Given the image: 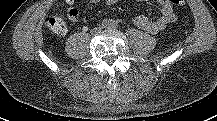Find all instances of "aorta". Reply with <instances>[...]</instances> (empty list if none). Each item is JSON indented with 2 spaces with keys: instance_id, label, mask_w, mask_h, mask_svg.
<instances>
[{
  "instance_id": "1",
  "label": "aorta",
  "mask_w": 217,
  "mask_h": 121,
  "mask_svg": "<svg viewBox=\"0 0 217 121\" xmlns=\"http://www.w3.org/2000/svg\"><path fill=\"white\" fill-rule=\"evenodd\" d=\"M114 26H115L114 21L109 20L108 23H107V27H114Z\"/></svg>"
}]
</instances>
